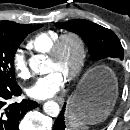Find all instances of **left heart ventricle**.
<instances>
[{
  "mask_svg": "<svg viewBox=\"0 0 130 130\" xmlns=\"http://www.w3.org/2000/svg\"><path fill=\"white\" fill-rule=\"evenodd\" d=\"M78 46L72 39L65 41L58 59H48L47 70L56 69L65 77L74 68L78 59Z\"/></svg>",
  "mask_w": 130,
  "mask_h": 130,
  "instance_id": "b2bd125f",
  "label": "left heart ventricle"
}]
</instances>
